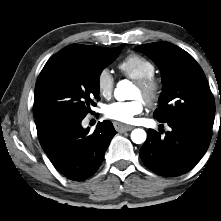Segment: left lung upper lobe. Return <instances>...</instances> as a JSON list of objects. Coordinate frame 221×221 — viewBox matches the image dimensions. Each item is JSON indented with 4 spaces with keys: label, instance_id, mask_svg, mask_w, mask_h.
<instances>
[{
    "label": "left lung upper lobe",
    "instance_id": "left-lung-upper-lobe-1",
    "mask_svg": "<svg viewBox=\"0 0 221 221\" xmlns=\"http://www.w3.org/2000/svg\"><path fill=\"white\" fill-rule=\"evenodd\" d=\"M136 50L152 57L161 69L164 88L154 118L159 122L187 119L211 130L214 97L195 59L168 42L139 45Z\"/></svg>",
    "mask_w": 221,
    "mask_h": 221
}]
</instances>
